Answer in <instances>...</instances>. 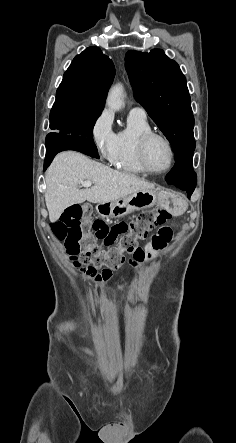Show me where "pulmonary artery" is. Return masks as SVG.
I'll return each instance as SVG.
<instances>
[{"instance_id":"e3ab8cb5","label":"pulmonary artery","mask_w":236,"mask_h":443,"mask_svg":"<svg viewBox=\"0 0 236 443\" xmlns=\"http://www.w3.org/2000/svg\"><path fill=\"white\" fill-rule=\"evenodd\" d=\"M131 115H136L140 117H146L147 112L142 106H135L130 110Z\"/></svg>"}]
</instances>
